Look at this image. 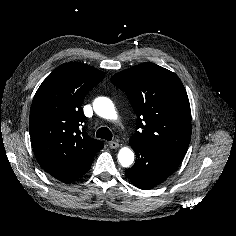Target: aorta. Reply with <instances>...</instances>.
<instances>
[{
	"mask_svg": "<svg viewBox=\"0 0 236 236\" xmlns=\"http://www.w3.org/2000/svg\"><path fill=\"white\" fill-rule=\"evenodd\" d=\"M93 108L96 114L104 119L115 120L117 118L114 104L108 98L95 101ZM118 161L123 167L130 166L134 161L133 151L128 147L121 148L118 153Z\"/></svg>",
	"mask_w": 236,
	"mask_h": 236,
	"instance_id": "obj_1",
	"label": "aorta"
}]
</instances>
